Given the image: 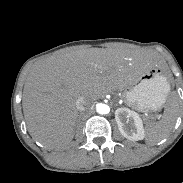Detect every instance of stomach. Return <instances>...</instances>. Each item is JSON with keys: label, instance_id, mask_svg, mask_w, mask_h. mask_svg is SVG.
Wrapping results in <instances>:
<instances>
[{"label": "stomach", "instance_id": "0dacf381", "mask_svg": "<svg viewBox=\"0 0 183 183\" xmlns=\"http://www.w3.org/2000/svg\"><path fill=\"white\" fill-rule=\"evenodd\" d=\"M169 91L167 77L151 66L132 78L123 90V97L140 111H156L167 101Z\"/></svg>", "mask_w": 183, "mask_h": 183}]
</instances>
